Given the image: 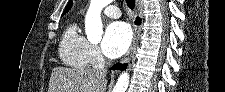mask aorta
Returning a JSON list of instances; mask_svg holds the SVG:
<instances>
[{
	"instance_id": "aorta-1",
	"label": "aorta",
	"mask_w": 225,
	"mask_h": 92,
	"mask_svg": "<svg viewBox=\"0 0 225 92\" xmlns=\"http://www.w3.org/2000/svg\"><path fill=\"white\" fill-rule=\"evenodd\" d=\"M112 0H91L88 11L85 16V32L90 41H99L103 34V25L101 21V11ZM129 84V74L123 72L120 74L113 92H126Z\"/></svg>"
}]
</instances>
